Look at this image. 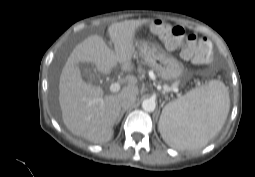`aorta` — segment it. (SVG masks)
I'll list each match as a JSON object with an SVG mask.
<instances>
[{"label": "aorta", "mask_w": 255, "mask_h": 177, "mask_svg": "<svg viewBox=\"0 0 255 177\" xmlns=\"http://www.w3.org/2000/svg\"><path fill=\"white\" fill-rule=\"evenodd\" d=\"M142 108L146 111V112H153L156 108V102L154 99H145L142 102Z\"/></svg>", "instance_id": "aorta-1"}]
</instances>
